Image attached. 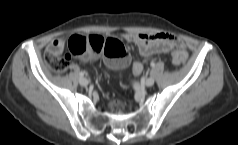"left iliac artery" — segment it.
<instances>
[{"mask_svg": "<svg viewBox=\"0 0 238 145\" xmlns=\"http://www.w3.org/2000/svg\"><path fill=\"white\" fill-rule=\"evenodd\" d=\"M155 66V64L154 63H151V67H154Z\"/></svg>", "mask_w": 238, "mask_h": 145, "instance_id": "left-iliac-artery-1", "label": "left iliac artery"}]
</instances>
